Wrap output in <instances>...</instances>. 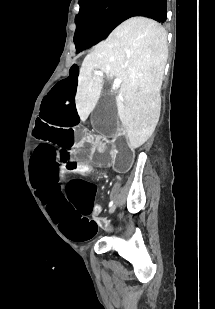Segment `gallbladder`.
<instances>
[{"label": "gallbladder", "mask_w": 215, "mask_h": 309, "mask_svg": "<svg viewBox=\"0 0 215 309\" xmlns=\"http://www.w3.org/2000/svg\"><path fill=\"white\" fill-rule=\"evenodd\" d=\"M92 118L97 125L99 136H110L113 128L117 126V104L113 92L101 94Z\"/></svg>", "instance_id": "1"}]
</instances>
